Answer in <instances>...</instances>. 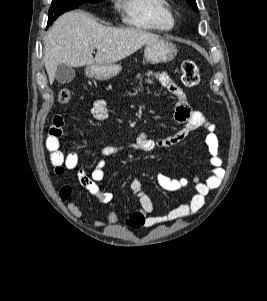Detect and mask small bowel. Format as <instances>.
<instances>
[{
	"label": "small bowel",
	"instance_id": "c3829d8e",
	"mask_svg": "<svg viewBox=\"0 0 267 301\" xmlns=\"http://www.w3.org/2000/svg\"><path fill=\"white\" fill-rule=\"evenodd\" d=\"M145 82L147 84L158 82L173 95L175 99L174 118L177 124L180 125V129L174 135L163 139L152 138L142 133L138 135L135 142L126 147L106 146L102 148V155L111 156L123 150L150 152L157 148H168L184 140L191 131L204 128L206 130L205 143L211 156V173L205 180H200L198 177L183 176L173 178L163 172H159L156 177L157 183L164 190L176 191L189 185H192L194 188V194L190 200L180 204L164 215L154 214L155 207L153 201L143 190L141 180L133 179L130 184V189L137 197L140 208L128 217L127 225L134 229L140 227L148 228L157 224L173 222L195 214L204 205L205 198L209 192L220 186L225 175V170L222 167V159L219 155V140L216 135L215 124L208 120L200 111L191 108L185 91L176 84L167 73L161 72L148 76ZM91 113L96 120L103 121L107 119L109 112L106 101L104 99L95 100ZM63 125V117L60 114L55 115L45 141L55 174L60 176L63 175L66 170H76L78 182L83 188L95 196L101 203L111 204L113 194L102 189V182L104 180V159L100 158L98 160L91 173L79 167V158L76 152L71 151L64 153L61 150L60 138L63 135ZM72 191V187L65 184L59 189L58 195L61 201L68 202L67 207L71 214L80 219L83 213L81 209L70 200ZM119 218L118 211L111 207L106 219H99L96 221V224L98 226L114 225L119 221Z\"/></svg>",
	"mask_w": 267,
	"mask_h": 301
}]
</instances>
